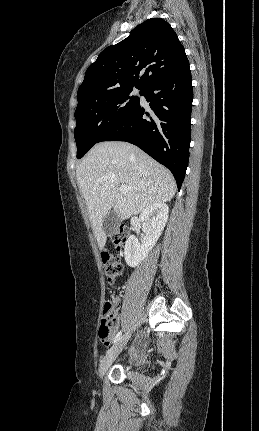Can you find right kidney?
<instances>
[{"instance_id": "right-kidney-1", "label": "right kidney", "mask_w": 259, "mask_h": 431, "mask_svg": "<svg viewBox=\"0 0 259 431\" xmlns=\"http://www.w3.org/2000/svg\"><path fill=\"white\" fill-rule=\"evenodd\" d=\"M168 213L165 203H155L142 211L139 221L145 236L141 244L133 235L127 239L124 256L128 266L136 267L148 256L166 225Z\"/></svg>"}]
</instances>
